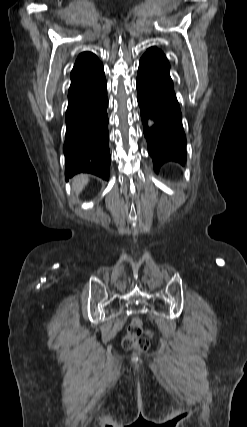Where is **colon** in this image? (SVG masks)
Instances as JSON below:
<instances>
[{
	"label": "colon",
	"instance_id": "1",
	"mask_svg": "<svg viewBox=\"0 0 247 427\" xmlns=\"http://www.w3.org/2000/svg\"><path fill=\"white\" fill-rule=\"evenodd\" d=\"M143 323L140 319H134L128 328V332L122 341L125 349H138L146 351L149 348L147 339L140 338L143 333Z\"/></svg>",
	"mask_w": 247,
	"mask_h": 427
}]
</instances>
